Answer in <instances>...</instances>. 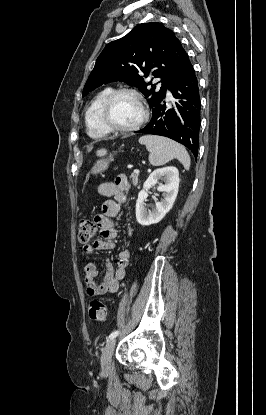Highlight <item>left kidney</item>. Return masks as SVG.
<instances>
[{
	"mask_svg": "<svg viewBox=\"0 0 266 415\" xmlns=\"http://www.w3.org/2000/svg\"><path fill=\"white\" fill-rule=\"evenodd\" d=\"M159 180L165 184L157 187L163 193V199L156 202L155 209L147 210L145 201L147 200L148 190L155 186ZM179 171L176 167L168 166L153 171L143 185V189L138 194L136 201V219L142 226H149L160 222L173 207L179 188Z\"/></svg>",
	"mask_w": 266,
	"mask_h": 415,
	"instance_id": "obj_1",
	"label": "left kidney"
}]
</instances>
